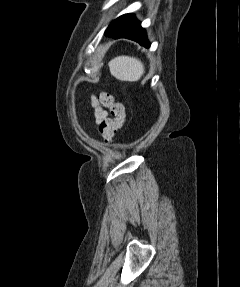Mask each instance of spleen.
<instances>
[{"label": "spleen", "mask_w": 240, "mask_h": 287, "mask_svg": "<svg viewBox=\"0 0 240 287\" xmlns=\"http://www.w3.org/2000/svg\"><path fill=\"white\" fill-rule=\"evenodd\" d=\"M111 75L120 81H138L145 72L143 63L130 56H118L109 62Z\"/></svg>", "instance_id": "obj_1"}]
</instances>
